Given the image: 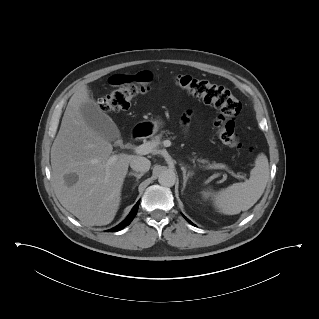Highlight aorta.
<instances>
[{
    "label": "aorta",
    "mask_w": 319,
    "mask_h": 319,
    "mask_svg": "<svg viewBox=\"0 0 319 319\" xmlns=\"http://www.w3.org/2000/svg\"><path fill=\"white\" fill-rule=\"evenodd\" d=\"M176 175L172 170H164L159 174L158 182L165 187H172L175 184Z\"/></svg>",
    "instance_id": "1"
}]
</instances>
